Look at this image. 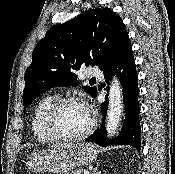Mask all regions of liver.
I'll return each instance as SVG.
<instances>
[{"label":"liver","mask_w":175,"mask_h":174,"mask_svg":"<svg viewBox=\"0 0 175 174\" xmlns=\"http://www.w3.org/2000/svg\"><path fill=\"white\" fill-rule=\"evenodd\" d=\"M73 147L74 144H63V145H60V144H57V145H53L52 148H57V147Z\"/></svg>","instance_id":"liver-1"}]
</instances>
